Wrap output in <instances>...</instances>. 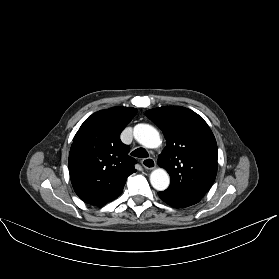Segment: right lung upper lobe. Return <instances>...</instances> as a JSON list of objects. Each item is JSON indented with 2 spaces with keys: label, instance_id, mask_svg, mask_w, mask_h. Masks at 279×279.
Segmentation results:
<instances>
[{
  "label": "right lung upper lobe",
  "instance_id": "1",
  "mask_svg": "<svg viewBox=\"0 0 279 279\" xmlns=\"http://www.w3.org/2000/svg\"><path fill=\"white\" fill-rule=\"evenodd\" d=\"M133 107H113L91 115L76 133L69 153L73 188L84 202L103 206L123 191L136 172L130 147L120 140L122 130L136 115Z\"/></svg>",
  "mask_w": 279,
  "mask_h": 279
}]
</instances>
